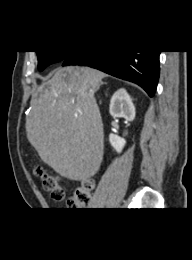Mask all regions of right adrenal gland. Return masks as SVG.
Returning <instances> with one entry per match:
<instances>
[{"label":"right adrenal gland","mask_w":192,"mask_h":260,"mask_svg":"<svg viewBox=\"0 0 192 260\" xmlns=\"http://www.w3.org/2000/svg\"><path fill=\"white\" fill-rule=\"evenodd\" d=\"M102 84H103V83L101 82V83H100V85H102ZM100 85H99V86L96 88V90H95V91H97V90L99 89Z\"/></svg>","instance_id":"2a0ac1e0"}]
</instances>
